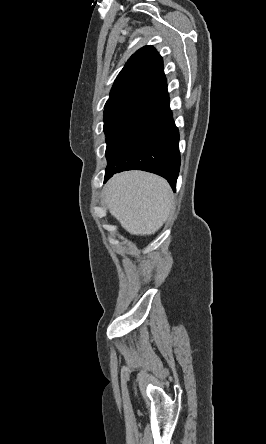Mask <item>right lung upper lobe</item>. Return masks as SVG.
I'll list each match as a JSON object with an SVG mask.
<instances>
[{"label": "right lung upper lobe", "mask_w": 266, "mask_h": 444, "mask_svg": "<svg viewBox=\"0 0 266 444\" xmlns=\"http://www.w3.org/2000/svg\"><path fill=\"white\" fill-rule=\"evenodd\" d=\"M135 95L155 97L169 104L163 60L153 46L136 51L117 76L107 103Z\"/></svg>", "instance_id": "1"}]
</instances>
